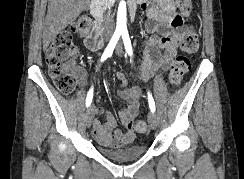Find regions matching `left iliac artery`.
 Instances as JSON below:
<instances>
[{"instance_id": "44dca946", "label": "left iliac artery", "mask_w": 244, "mask_h": 179, "mask_svg": "<svg viewBox=\"0 0 244 179\" xmlns=\"http://www.w3.org/2000/svg\"><path fill=\"white\" fill-rule=\"evenodd\" d=\"M121 34H122V39H123L125 49H126L128 55L130 57H132L133 56V50H132V45H131L129 33L127 30H125V31H122ZM148 102H149V107H150L151 111L155 112V102L153 100L152 95L149 92H148Z\"/></svg>"}]
</instances>
